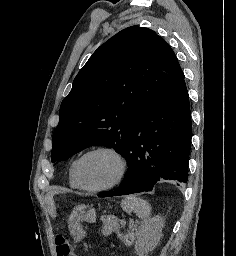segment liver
I'll list each match as a JSON object with an SVG mask.
<instances>
[{
  "mask_svg": "<svg viewBox=\"0 0 236 256\" xmlns=\"http://www.w3.org/2000/svg\"><path fill=\"white\" fill-rule=\"evenodd\" d=\"M46 202L48 204V212H49L50 216H52V218H55L56 208H55L54 202H53V194H50V192H48V194H46Z\"/></svg>",
  "mask_w": 236,
  "mask_h": 256,
  "instance_id": "6515ba94",
  "label": "liver"
}]
</instances>
